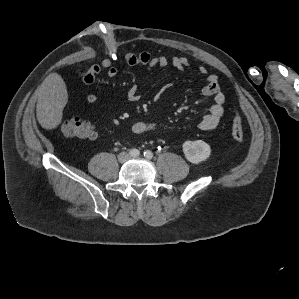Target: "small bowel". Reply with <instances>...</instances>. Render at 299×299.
<instances>
[{
	"label": "small bowel",
	"mask_w": 299,
	"mask_h": 299,
	"mask_svg": "<svg viewBox=\"0 0 299 299\" xmlns=\"http://www.w3.org/2000/svg\"><path fill=\"white\" fill-rule=\"evenodd\" d=\"M123 60L129 66H143L146 73L156 67L173 66L179 70H185L190 67L189 60L184 56H155L148 51L126 53L123 56ZM196 70L198 73L206 75L207 83L202 88V94L212 98L213 101L209 111L203 115L199 122V128L201 130L209 131L217 127L224 115L225 95L220 89L218 77L215 74H209L204 66H198ZM102 71H105L109 78L116 77L118 73V69L114 65V61L111 58H104L99 63L92 65L83 74V82L87 85L93 84ZM139 85L140 80L134 82L130 86L127 94L130 101H137L140 99ZM86 100L88 103L93 104L98 100V96L95 93H90L87 95ZM154 126V123L149 121H138L132 126V131L134 134L140 135L152 130Z\"/></svg>",
	"instance_id": "1"
}]
</instances>
